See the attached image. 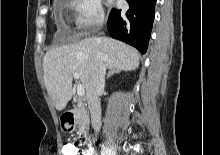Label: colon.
Returning <instances> with one entry per match:
<instances>
[{"label":"colon","mask_w":220,"mask_h":155,"mask_svg":"<svg viewBox=\"0 0 220 155\" xmlns=\"http://www.w3.org/2000/svg\"><path fill=\"white\" fill-rule=\"evenodd\" d=\"M85 140V139H81ZM64 155H85V145H77V143H65L63 146Z\"/></svg>","instance_id":"colon-1"}]
</instances>
